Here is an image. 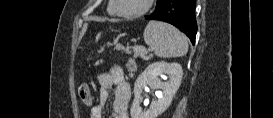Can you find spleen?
Wrapping results in <instances>:
<instances>
[{
	"mask_svg": "<svg viewBox=\"0 0 273 118\" xmlns=\"http://www.w3.org/2000/svg\"><path fill=\"white\" fill-rule=\"evenodd\" d=\"M143 35L145 43L159 57L184 56L188 51L187 38L169 24L150 21L144 29Z\"/></svg>",
	"mask_w": 273,
	"mask_h": 118,
	"instance_id": "1",
	"label": "spleen"
}]
</instances>
